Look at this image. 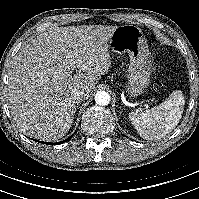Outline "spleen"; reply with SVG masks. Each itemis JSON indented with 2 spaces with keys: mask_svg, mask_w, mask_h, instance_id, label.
Segmentation results:
<instances>
[{
  "mask_svg": "<svg viewBox=\"0 0 199 199\" xmlns=\"http://www.w3.org/2000/svg\"><path fill=\"white\" fill-rule=\"evenodd\" d=\"M184 105L182 92L176 90L158 106L142 112H131L129 119L142 138L161 139L178 125Z\"/></svg>",
  "mask_w": 199,
  "mask_h": 199,
  "instance_id": "1",
  "label": "spleen"
}]
</instances>
